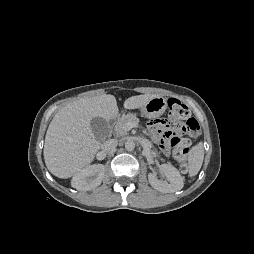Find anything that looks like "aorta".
<instances>
[{
    "mask_svg": "<svg viewBox=\"0 0 254 254\" xmlns=\"http://www.w3.org/2000/svg\"><path fill=\"white\" fill-rule=\"evenodd\" d=\"M135 148V143L132 140H127L125 142V149L128 151H132Z\"/></svg>",
    "mask_w": 254,
    "mask_h": 254,
    "instance_id": "obj_1",
    "label": "aorta"
}]
</instances>
